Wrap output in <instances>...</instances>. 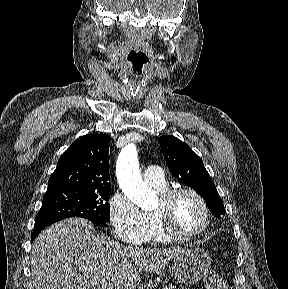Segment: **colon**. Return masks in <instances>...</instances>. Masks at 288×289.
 I'll return each instance as SVG.
<instances>
[{
  "label": "colon",
  "mask_w": 288,
  "mask_h": 289,
  "mask_svg": "<svg viewBox=\"0 0 288 289\" xmlns=\"http://www.w3.org/2000/svg\"><path fill=\"white\" fill-rule=\"evenodd\" d=\"M205 285L207 289H227L225 280L215 270L206 272Z\"/></svg>",
  "instance_id": "5ec220e1"
}]
</instances>
